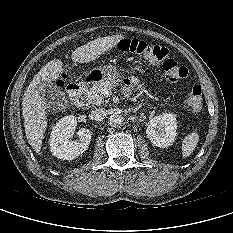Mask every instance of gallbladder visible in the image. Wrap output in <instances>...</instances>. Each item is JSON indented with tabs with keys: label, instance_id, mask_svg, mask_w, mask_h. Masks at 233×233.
Listing matches in <instances>:
<instances>
[{
	"label": "gallbladder",
	"instance_id": "obj_1",
	"mask_svg": "<svg viewBox=\"0 0 233 233\" xmlns=\"http://www.w3.org/2000/svg\"><path fill=\"white\" fill-rule=\"evenodd\" d=\"M36 90L42 96L45 105L49 109H63L67 105V99L64 92H62L52 82L44 81L40 82L36 86Z\"/></svg>",
	"mask_w": 233,
	"mask_h": 233
}]
</instances>
